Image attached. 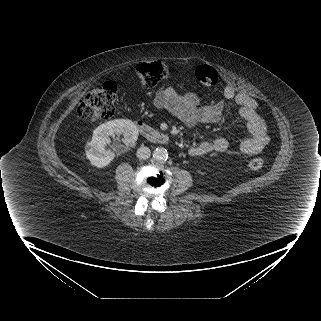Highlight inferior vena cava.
I'll list each match as a JSON object with an SVG mask.
<instances>
[{"instance_id":"inferior-vena-cava-1","label":"inferior vena cava","mask_w":321,"mask_h":321,"mask_svg":"<svg viewBox=\"0 0 321 321\" xmlns=\"http://www.w3.org/2000/svg\"><path fill=\"white\" fill-rule=\"evenodd\" d=\"M150 155H151V151L146 146H141L140 148L137 149L136 156L141 160L148 159Z\"/></svg>"}]
</instances>
